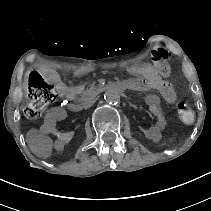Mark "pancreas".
Instances as JSON below:
<instances>
[{
	"mask_svg": "<svg viewBox=\"0 0 211 211\" xmlns=\"http://www.w3.org/2000/svg\"><path fill=\"white\" fill-rule=\"evenodd\" d=\"M93 94V86H91L89 89L85 90L83 93H82V97L84 99H88L90 97V95Z\"/></svg>",
	"mask_w": 211,
	"mask_h": 211,
	"instance_id": "cf45deb5",
	"label": "pancreas"
}]
</instances>
